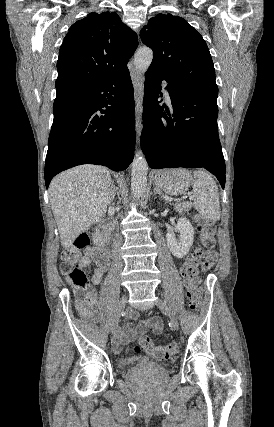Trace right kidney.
<instances>
[{
	"instance_id": "ca27d5eb",
	"label": "right kidney",
	"mask_w": 274,
	"mask_h": 427,
	"mask_svg": "<svg viewBox=\"0 0 274 427\" xmlns=\"http://www.w3.org/2000/svg\"><path fill=\"white\" fill-rule=\"evenodd\" d=\"M93 241H94V243H98V241H100V235H99L98 231H97V233H94Z\"/></svg>"
}]
</instances>
